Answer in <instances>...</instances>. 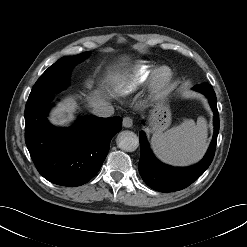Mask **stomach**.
<instances>
[{
    "mask_svg": "<svg viewBox=\"0 0 247 247\" xmlns=\"http://www.w3.org/2000/svg\"><path fill=\"white\" fill-rule=\"evenodd\" d=\"M171 122L169 98L166 93L161 94L149 112V125L152 132L166 129Z\"/></svg>",
    "mask_w": 247,
    "mask_h": 247,
    "instance_id": "0dacf381",
    "label": "stomach"
}]
</instances>
